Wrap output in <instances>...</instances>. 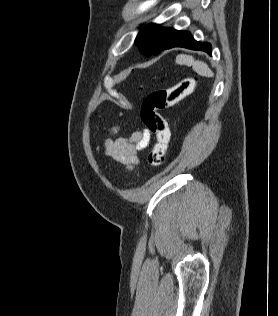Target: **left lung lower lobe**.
<instances>
[{
    "mask_svg": "<svg viewBox=\"0 0 278 316\" xmlns=\"http://www.w3.org/2000/svg\"><path fill=\"white\" fill-rule=\"evenodd\" d=\"M174 47H183L192 50L205 51L211 55V45L209 43H202L196 41L189 32L177 31L174 38L169 42L165 49ZM164 49V50H165Z\"/></svg>",
    "mask_w": 278,
    "mask_h": 316,
    "instance_id": "1",
    "label": "left lung lower lobe"
}]
</instances>
